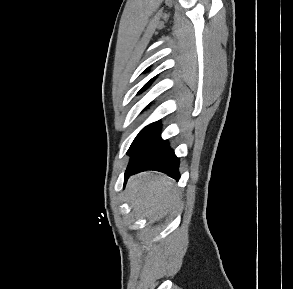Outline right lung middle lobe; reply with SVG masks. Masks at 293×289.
<instances>
[{"instance_id": "obj_1", "label": "right lung middle lobe", "mask_w": 293, "mask_h": 289, "mask_svg": "<svg viewBox=\"0 0 293 289\" xmlns=\"http://www.w3.org/2000/svg\"><path fill=\"white\" fill-rule=\"evenodd\" d=\"M160 124L159 121L154 122L147 127H145L134 139L132 145L130 147H133L137 145L139 142H141L154 128H156Z\"/></svg>"}]
</instances>
